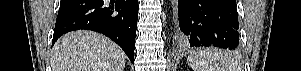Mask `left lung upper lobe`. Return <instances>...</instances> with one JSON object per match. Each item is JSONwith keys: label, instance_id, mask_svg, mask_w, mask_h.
<instances>
[{"label": "left lung upper lobe", "instance_id": "obj_1", "mask_svg": "<svg viewBox=\"0 0 301 71\" xmlns=\"http://www.w3.org/2000/svg\"><path fill=\"white\" fill-rule=\"evenodd\" d=\"M176 38L178 39V34H177V32H176Z\"/></svg>", "mask_w": 301, "mask_h": 71}]
</instances>
